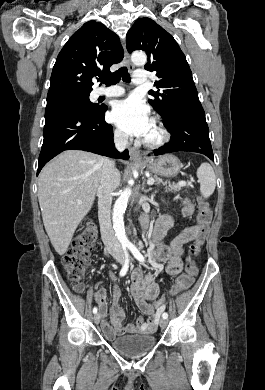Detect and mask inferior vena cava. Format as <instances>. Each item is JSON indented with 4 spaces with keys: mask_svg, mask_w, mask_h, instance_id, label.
<instances>
[{
    "mask_svg": "<svg viewBox=\"0 0 265 390\" xmlns=\"http://www.w3.org/2000/svg\"><path fill=\"white\" fill-rule=\"evenodd\" d=\"M115 147L123 151L128 144L126 134L116 132L114 135ZM120 183V173L115 167L113 160L103 158L102 175L98 187V218L100 224L101 238L106 250L112 256H122L123 250L118 242L111 224L110 212L112 204V194Z\"/></svg>",
    "mask_w": 265,
    "mask_h": 390,
    "instance_id": "1",
    "label": "inferior vena cava"
}]
</instances>
